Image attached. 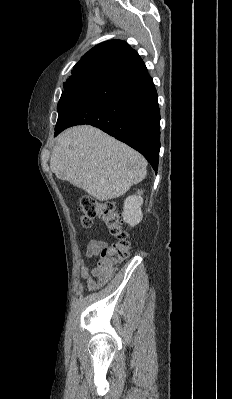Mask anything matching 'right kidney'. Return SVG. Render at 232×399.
<instances>
[{"label":"right kidney","instance_id":"ca27d5eb","mask_svg":"<svg viewBox=\"0 0 232 399\" xmlns=\"http://www.w3.org/2000/svg\"><path fill=\"white\" fill-rule=\"evenodd\" d=\"M141 190H138V196H128L126 200H124V211L122 213L124 221L129 223L131 227L133 225H137L139 221H141L143 217V213L141 211V205L143 200L141 198Z\"/></svg>","mask_w":232,"mask_h":399}]
</instances>
